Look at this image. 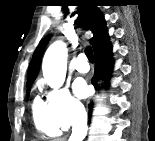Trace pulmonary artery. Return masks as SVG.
Returning a JSON list of instances; mask_svg holds the SVG:
<instances>
[{"instance_id":"obj_1","label":"pulmonary artery","mask_w":155,"mask_h":141,"mask_svg":"<svg viewBox=\"0 0 155 141\" xmlns=\"http://www.w3.org/2000/svg\"><path fill=\"white\" fill-rule=\"evenodd\" d=\"M75 69L80 73H86L89 71V65L85 54H80L74 64Z\"/></svg>"}]
</instances>
